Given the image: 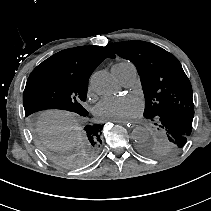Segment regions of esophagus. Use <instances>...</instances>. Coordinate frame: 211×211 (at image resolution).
<instances>
[{
	"mask_svg": "<svg viewBox=\"0 0 211 211\" xmlns=\"http://www.w3.org/2000/svg\"><path fill=\"white\" fill-rule=\"evenodd\" d=\"M112 122L125 124L126 128L128 130H131L133 128V124L130 121H124V120H113Z\"/></svg>",
	"mask_w": 211,
	"mask_h": 211,
	"instance_id": "34e87169",
	"label": "esophagus"
}]
</instances>
